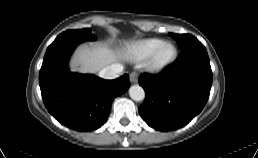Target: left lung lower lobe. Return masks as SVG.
I'll use <instances>...</instances> for the list:
<instances>
[{"label":"left lung lower lobe","mask_w":258,"mask_h":158,"mask_svg":"<svg viewBox=\"0 0 258 158\" xmlns=\"http://www.w3.org/2000/svg\"><path fill=\"white\" fill-rule=\"evenodd\" d=\"M139 84L146 92L139 114L150 127L170 131L185 126L209 98L212 71L206 48L193 42L166 71L156 76L145 73Z\"/></svg>","instance_id":"1"}]
</instances>
